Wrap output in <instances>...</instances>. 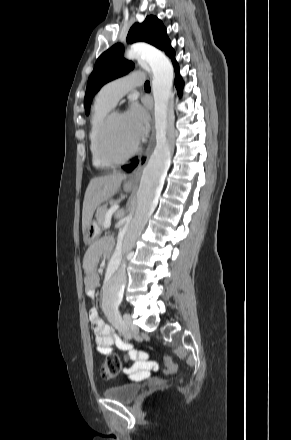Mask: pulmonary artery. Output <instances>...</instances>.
<instances>
[{
	"mask_svg": "<svg viewBox=\"0 0 291 440\" xmlns=\"http://www.w3.org/2000/svg\"><path fill=\"white\" fill-rule=\"evenodd\" d=\"M144 76L135 72L122 76L106 83L99 91V97L111 106H115L118 100L126 95L131 89L142 85Z\"/></svg>",
	"mask_w": 291,
	"mask_h": 440,
	"instance_id": "pulmonary-artery-1",
	"label": "pulmonary artery"
}]
</instances>
